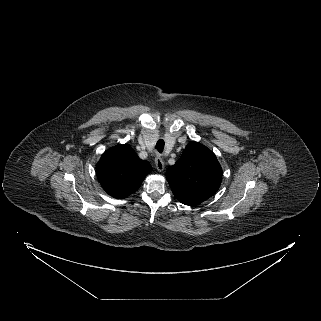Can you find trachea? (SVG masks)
<instances>
[{
    "label": "trachea",
    "mask_w": 321,
    "mask_h": 321,
    "mask_svg": "<svg viewBox=\"0 0 321 321\" xmlns=\"http://www.w3.org/2000/svg\"><path fill=\"white\" fill-rule=\"evenodd\" d=\"M164 145H165V142L163 139H159L156 143V150L159 152V153H162L163 152V149H164Z\"/></svg>",
    "instance_id": "trachea-1"
}]
</instances>
